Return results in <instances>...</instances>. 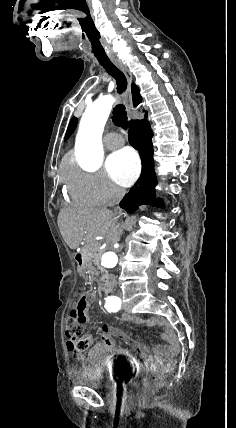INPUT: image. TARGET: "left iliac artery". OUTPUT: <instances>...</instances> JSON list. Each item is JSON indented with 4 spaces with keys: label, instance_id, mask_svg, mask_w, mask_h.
<instances>
[{
    "label": "left iliac artery",
    "instance_id": "left-iliac-artery-1",
    "mask_svg": "<svg viewBox=\"0 0 236 428\" xmlns=\"http://www.w3.org/2000/svg\"><path fill=\"white\" fill-rule=\"evenodd\" d=\"M105 308L108 312H117L121 308V299L117 296H108L105 298Z\"/></svg>",
    "mask_w": 236,
    "mask_h": 428
}]
</instances>
